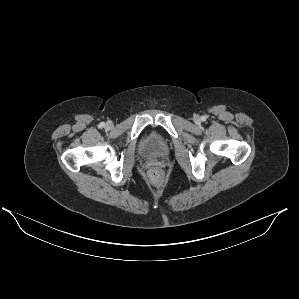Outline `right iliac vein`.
<instances>
[{
    "label": "right iliac vein",
    "mask_w": 299,
    "mask_h": 299,
    "mask_svg": "<svg viewBox=\"0 0 299 299\" xmlns=\"http://www.w3.org/2000/svg\"><path fill=\"white\" fill-rule=\"evenodd\" d=\"M113 127V123L111 121H108L106 123V128L111 129Z\"/></svg>",
    "instance_id": "1"
}]
</instances>
